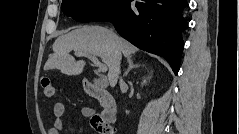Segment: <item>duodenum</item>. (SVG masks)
Returning <instances> with one entry per match:
<instances>
[{
	"label": "duodenum",
	"instance_id": "1",
	"mask_svg": "<svg viewBox=\"0 0 239 134\" xmlns=\"http://www.w3.org/2000/svg\"><path fill=\"white\" fill-rule=\"evenodd\" d=\"M87 92L98 100L102 107V117L105 121L113 123L117 118V107L112 95L92 81L87 82Z\"/></svg>",
	"mask_w": 239,
	"mask_h": 134
}]
</instances>
